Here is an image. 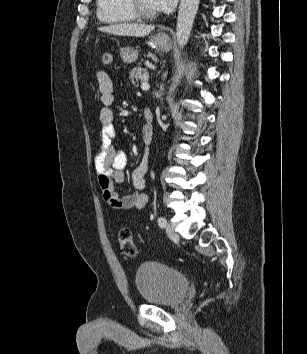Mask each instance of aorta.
Listing matches in <instances>:
<instances>
[{"label":"aorta","instance_id":"obj_1","mask_svg":"<svg viewBox=\"0 0 307 354\" xmlns=\"http://www.w3.org/2000/svg\"><path fill=\"white\" fill-rule=\"evenodd\" d=\"M200 0H181L176 26V40L183 48L190 37Z\"/></svg>","mask_w":307,"mask_h":354}]
</instances>
